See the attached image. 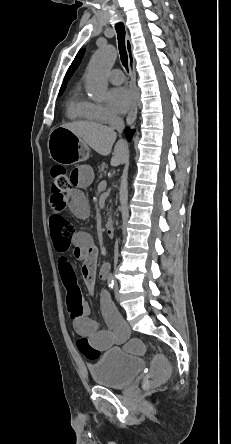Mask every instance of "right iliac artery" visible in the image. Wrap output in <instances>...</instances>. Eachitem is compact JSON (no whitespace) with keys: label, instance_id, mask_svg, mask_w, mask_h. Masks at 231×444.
<instances>
[{"label":"right iliac artery","instance_id":"82829eb1","mask_svg":"<svg viewBox=\"0 0 231 444\" xmlns=\"http://www.w3.org/2000/svg\"><path fill=\"white\" fill-rule=\"evenodd\" d=\"M107 281H108V287H109L110 289H113V286H114V279H113V275H112V274H109V275H108V277H107Z\"/></svg>","mask_w":231,"mask_h":444}]
</instances>
